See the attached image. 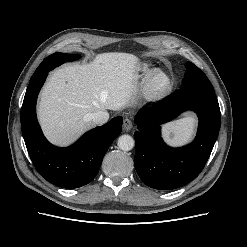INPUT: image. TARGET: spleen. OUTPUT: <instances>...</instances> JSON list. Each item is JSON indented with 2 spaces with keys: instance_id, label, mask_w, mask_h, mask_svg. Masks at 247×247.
<instances>
[{
  "instance_id": "obj_1",
  "label": "spleen",
  "mask_w": 247,
  "mask_h": 247,
  "mask_svg": "<svg viewBox=\"0 0 247 247\" xmlns=\"http://www.w3.org/2000/svg\"><path fill=\"white\" fill-rule=\"evenodd\" d=\"M195 123L196 120L193 117H185L164 125V139L172 146L188 143L193 137Z\"/></svg>"
}]
</instances>
